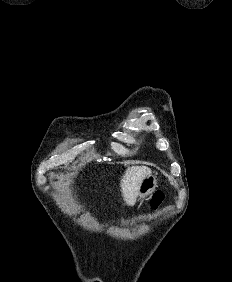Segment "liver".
I'll list each match as a JSON object with an SVG mask.
<instances>
[{
  "instance_id": "6515ba94",
  "label": "liver",
  "mask_w": 232,
  "mask_h": 282,
  "mask_svg": "<svg viewBox=\"0 0 232 282\" xmlns=\"http://www.w3.org/2000/svg\"><path fill=\"white\" fill-rule=\"evenodd\" d=\"M149 174H151V170L146 166H132L124 172L120 186L122 196L127 205L132 206L136 202L140 195V185Z\"/></svg>"
}]
</instances>
